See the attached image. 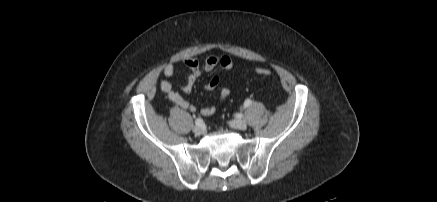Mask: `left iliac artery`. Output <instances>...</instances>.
Listing matches in <instances>:
<instances>
[{
  "label": "left iliac artery",
  "instance_id": "obj_1",
  "mask_svg": "<svg viewBox=\"0 0 437 202\" xmlns=\"http://www.w3.org/2000/svg\"><path fill=\"white\" fill-rule=\"evenodd\" d=\"M251 103H252V101L250 99H246L244 102V107L246 108V107L250 106Z\"/></svg>",
  "mask_w": 437,
  "mask_h": 202
}]
</instances>
